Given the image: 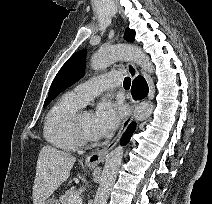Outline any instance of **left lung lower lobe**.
I'll use <instances>...</instances> for the list:
<instances>
[{"mask_svg": "<svg viewBox=\"0 0 212 204\" xmlns=\"http://www.w3.org/2000/svg\"><path fill=\"white\" fill-rule=\"evenodd\" d=\"M136 128L135 123H131L125 133L123 134V137L121 139V144L125 145L126 143L129 142L131 135L133 134L134 130Z\"/></svg>", "mask_w": 212, "mask_h": 204, "instance_id": "left-lung-lower-lobe-1", "label": "left lung lower lobe"}]
</instances>
